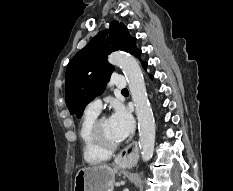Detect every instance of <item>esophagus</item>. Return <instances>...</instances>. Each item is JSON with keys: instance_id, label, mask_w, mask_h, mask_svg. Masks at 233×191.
Returning a JSON list of instances; mask_svg holds the SVG:
<instances>
[{"instance_id": "34e87169", "label": "esophagus", "mask_w": 233, "mask_h": 191, "mask_svg": "<svg viewBox=\"0 0 233 191\" xmlns=\"http://www.w3.org/2000/svg\"><path fill=\"white\" fill-rule=\"evenodd\" d=\"M138 154V149L136 144H130L124 148L116 157L115 161L117 163L131 164L136 160Z\"/></svg>"}]
</instances>
